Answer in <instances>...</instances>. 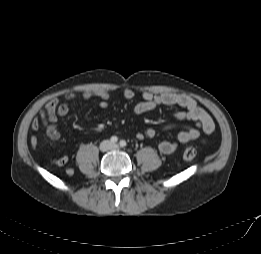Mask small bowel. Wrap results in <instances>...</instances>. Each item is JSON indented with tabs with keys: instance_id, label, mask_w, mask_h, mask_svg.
I'll return each instance as SVG.
<instances>
[{
	"instance_id": "c3829d8e",
	"label": "small bowel",
	"mask_w": 261,
	"mask_h": 254,
	"mask_svg": "<svg viewBox=\"0 0 261 254\" xmlns=\"http://www.w3.org/2000/svg\"><path fill=\"white\" fill-rule=\"evenodd\" d=\"M125 99H132L135 93L131 89H125L122 92ZM97 97L99 99V106L103 109L108 107L109 93L106 91L92 92L86 91L81 95L76 93H68L64 95L63 101L58 98H52L47 102L45 107L40 111L39 117L32 121L31 127L34 131H38L43 125L49 139L57 141L60 138V133L57 129L58 117L68 114L70 103L78 98L83 100H91ZM161 106H179L184 109L183 112L176 114V122L168 124L164 127L165 130L174 129L183 120H190L195 123L194 126H184L176 135L174 140H163L158 144V150L166 155L176 152L180 147L188 145L199 139L201 132L212 134L215 131V124L211 116L197 105L194 99L184 94H177L174 92H152L145 91L142 94V100L135 104L133 112L136 115H141L152 111ZM156 136V131L153 128H147L143 132L137 133L138 139H153ZM39 144L38 137L32 135L30 138V145L32 149H37ZM69 157L62 155L61 157L52 159V163L57 166H64L67 164ZM71 171V174L67 173ZM66 174L72 175L73 170L67 169Z\"/></svg>"
}]
</instances>
